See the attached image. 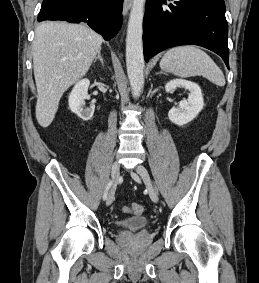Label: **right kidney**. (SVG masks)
Returning <instances> with one entry per match:
<instances>
[{"label": "right kidney", "instance_id": "right-kidney-1", "mask_svg": "<svg viewBox=\"0 0 259 283\" xmlns=\"http://www.w3.org/2000/svg\"><path fill=\"white\" fill-rule=\"evenodd\" d=\"M89 85L90 81L88 79L78 81L73 87L68 99L70 110L83 121L90 120L95 110L94 103H90L89 107L84 108L85 100L90 99L88 95Z\"/></svg>", "mask_w": 259, "mask_h": 283}]
</instances>
